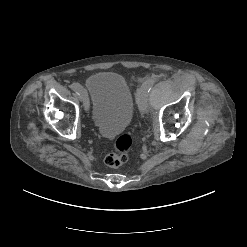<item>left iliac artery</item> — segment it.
I'll list each match as a JSON object with an SVG mask.
<instances>
[{
	"mask_svg": "<svg viewBox=\"0 0 247 247\" xmlns=\"http://www.w3.org/2000/svg\"><path fill=\"white\" fill-rule=\"evenodd\" d=\"M155 82H156L155 78L148 79L143 83L142 88H144L147 92H149L152 86L155 84Z\"/></svg>",
	"mask_w": 247,
	"mask_h": 247,
	"instance_id": "1",
	"label": "left iliac artery"
}]
</instances>
